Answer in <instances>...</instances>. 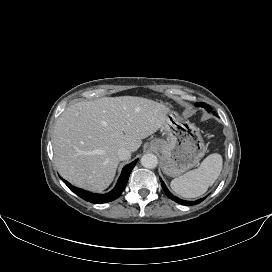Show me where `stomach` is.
I'll list each match as a JSON object with an SVG mask.
<instances>
[{
  "mask_svg": "<svg viewBox=\"0 0 272 272\" xmlns=\"http://www.w3.org/2000/svg\"><path fill=\"white\" fill-rule=\"evenodd\" d=\"M161 131L167 135L166 139L155 138L149 147L161 154L165 174L179 176L199 164L206 147L193 123L183 120L176 112H169Z\"/></svg>",
  "mask_w": 272,
  "mask_h": 272,
  "instance_id": "stomach-1",
  "label": "stomach"
}]
</instances>
